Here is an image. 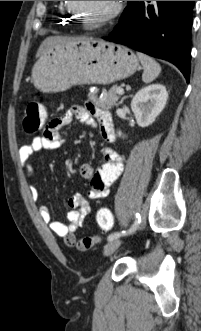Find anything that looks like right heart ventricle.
Instances as JSON below:
<instances>
[{
	"mask_svg": "<svg viewBox=\"0 0 201 331\" xmlns=\"http://www.w3.org/2000/svg\"><path fill=\"white\" fill-rule=\"evenodd\" d=\"M59 11L61 12V14H62V16L65 20H67V21H74L75 20L74 14L72 13V11H70L68 9L67 1H61Z\"/></svg>",
	"mask_w": 201,
	"mask_h": 331,
	"instance_id": "e07e8e85",
	"label": "right heart ventricle"
}]
</instances>
